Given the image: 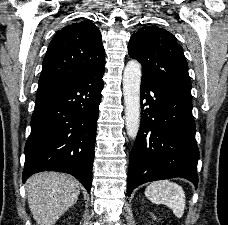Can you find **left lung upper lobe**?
Here are the masks:
<instances>
[{"mask_svg":"<svg viewBox=\"0 0 228 225\" xmlns=\"http://www.w3.org/2000/svg\"><path fill=\"white\" fill-rule=\"evenodd\" d=\"M128 53L141 63L143 79L160 87L191 94L183 49L170 32L145 24L131 36Z\"/></svg>","mask_w":228,"mask_h":225,"instance_id":"left-lung-upper-lobe-1","label":"left lung upper lobe"}]
</instances>
